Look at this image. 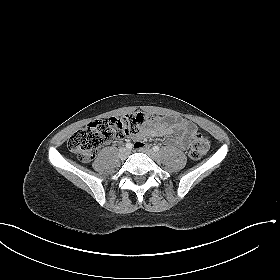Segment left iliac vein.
<instances>
[{"label":"left iliac vein","instance_id":"left-iliac-vein-1","mask_svg":"<svg viewBox=\"0 0 280 280\" xmlns=\"http://www.w3.org/2000/svg\"><path fill=\"white\" fill-rule=\"evenodd\" d=\"M141 152L147 154L149 157H151L153 160H157L159 158V155L153 151L150 148H143L140 150Z\"/></svg>","mask_w":280,"mask_h":280}]
</instances>
